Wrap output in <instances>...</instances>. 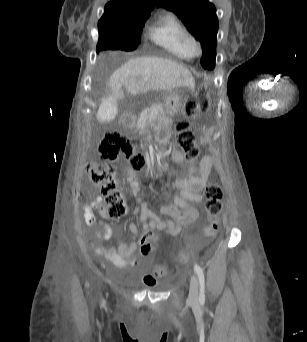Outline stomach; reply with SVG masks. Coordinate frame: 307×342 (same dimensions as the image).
Returning <instances> with one entry per match:
<instances>
[{"label": "stomach", "instance_id": "0dacf381", "mask_svg": "<svg viewBox=\"0 0 307 342\" xmlns=\"http://www.w3.org/2000/svg\"><path fill=\"white\" fill-rule=\"evenodd\" d=\"M190 89L183 88L167 97L165 101V112L174 116L184 107Z\"/></svg>", "mask_w": 307, "mask_h": 342}]
</instances>
